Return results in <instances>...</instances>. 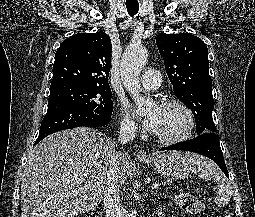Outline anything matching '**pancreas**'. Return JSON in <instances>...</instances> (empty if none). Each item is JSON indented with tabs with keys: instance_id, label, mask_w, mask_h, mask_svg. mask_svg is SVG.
Masks as SVG:
<instances>
[{
	"instance_id": "pancreas-1",
	"label": "pancreas",
	"mask_w": 255,
	"mask_h": 217,
	"mask_svg": "<svg viewBox=\"0 0 255 217\" xmlns=\"http://www.w3.org/2000/svg\"><path fill=\"white\" fill-rule=\"evenodd\" d=\"M166 183H171V182L170 181L164 182V184H166Z\"/></svg>"
}]
</instances>
